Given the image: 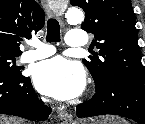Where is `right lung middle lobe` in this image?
<instances>
[{
  "instance_id": "1",
  "label": "right lung middle lobe",
  "mask_w": 145,
  "mask_h": 124,
  "mask_svg": "<svg viewBox=\"0 0 145 124\" xmlns=\"http://www.w3.org/2000/svg\"><path fill=\"white\" fill-rule=\"evenodd\" d=\"M19 55L0 51V71L9 73L13 76H21L20 67L15 65V58Z\"/></svg>"
}]
</instances>
